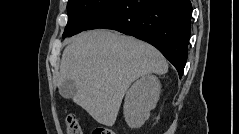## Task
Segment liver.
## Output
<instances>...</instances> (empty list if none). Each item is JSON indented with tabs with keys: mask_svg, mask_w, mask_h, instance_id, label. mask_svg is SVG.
I'll return each mask as SVG.
<instances>
[{
	"mask_svg": "<svg viewBox=\"0 0 239 134\" xmlns=\"http://www.w3.org/2000/svg\"><path fill=\"white\" fill-rule=\"evenodd\" d=\"M167 71L165 58L153 46L117 32L92 30L65 48L56 80L58 85L74 81L73 102L98 123L113 126L132 82Z\"/></svg>",
	"mask_w": 239,
	"mask_h": 134,
	"instance_id": "6515ba94",
	"label": "liver"
}]
</instances>
